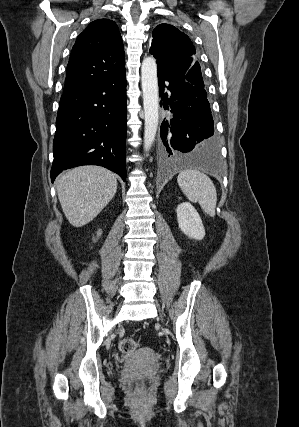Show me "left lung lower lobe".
Returning <instances> with one entry per match:
<instances>
[{
  "label": "left lung lower lobe",
  "mask_w": 299,
  "mask_h": 427,
  "mask_svg": "<svg viewBox=\"0 0 299 427\" xmlns=\"http://www.w3.org/2000/svg\"><path fill=\"white\" fill-rule=\"evenodd\" d=\"M191 61L157 59L160 106L170 114L161 124V158L215 171L220 160L214 122L206 90L186 79Z\"/></svg>",
  "instance_id": "obj_1"
}]
</instances>
